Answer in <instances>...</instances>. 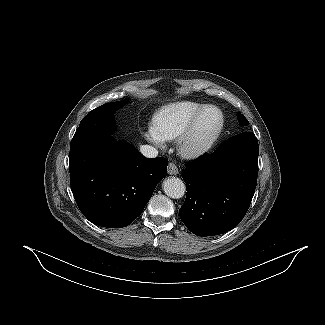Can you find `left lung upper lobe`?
<instances>
[{
	"mask_svg": "<svg viewBox=\"0 0 325 325\" xmlns=\"http://www.w3.org/2000/svg\"><path fill=\"white\" fill-rule=\"evenodd\" d=\"M238 119H239V122L242 126H246L249 124L248 120L240 113H238Z\"/></svg>",
	"mask_w": 325,
	"mask_h": 325,
	"instance_id": "obj_1",
	"label": "left lung upper lobe"
}]
</instances>
